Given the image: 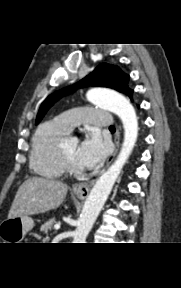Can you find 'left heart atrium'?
Here are the masks:
<instances>
[{
  "label": "left heart atrium",
  "mask_w": 181,
  "mask_h": 288,
  "mask_svg": "<svg viewBox=\"0 0 181 288\" xmlns=\"http://www.w3.org/2000/svg\"><path fill=\"white\" fill-rule=\"evenodd\" d=\"M108 153V146L96 131L89 132L78 146L76 160L82 168H93L101 164Z\"/></svg>",
  "instance_id": "1"
}]
</instances>
